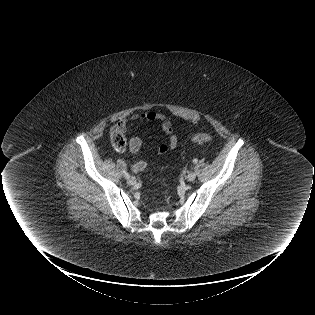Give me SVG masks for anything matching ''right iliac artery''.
<instances>
[{"label": "right iliac artery", "mask_w": 315, "mask_h": 315, "mask_svg": "<svg viewBox=\"0 0 315 315\" xmlns=\"http://www.w3.org/2000/svg\"><path fill=\"white\" fill-rule=\"evenodd\" d=\"M124 176H125V178H127V179L130 177V175H129L128 173H125Z\"/></svg>", "instance_id": "82829eb1"}]
</instances>
